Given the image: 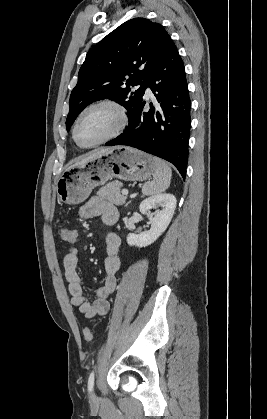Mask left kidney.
I'll use <instances>...</instances> for the list:
<instances>
[{
	"label": "left kidney",
	"instance_id": "obj_1",
	"mask_svg": "<svg viewBox=\"0 0 267 419\" xmlns=\"http://www.w3.org/2000/svg\"><path fill=\"white\" fill-rule=\"evenodd\" d=\"M161 207L155 214L150 210L155 207ZM176 208V198L169 193L157 194L143 200L139 206L142 214L147 215L151 228L149 231L140 234L130 233L127 236V243L130 246L146 247L156 241L160 235L167 229L174 215Z\"/></svg>",
	"mask_w": 267,
	"mask_h": 419
}]
</instances>
